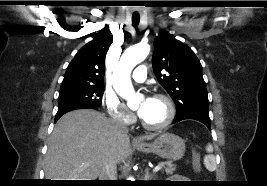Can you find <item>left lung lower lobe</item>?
<instances>
[{
    "instance_id": "obj_1",
    "label": "left lung lower lobe",
    "mask_w": 267,
    "mask_h": 186,
    "mask_svg": "<svg viewBox=\"0 0 267 186\" xmlns=\"http://www.w3.org/2000/svg\"><path fill=\"white\" fill-rule=\"evenodd\" d=\"M185 119H194V120L202 122L209 129L211 127V121H210L209 115L201 114V113H189V114H183L180 116H176L174 119V123H177V122H179L181 120H185Z\"/></svg>"
}]
</instances>
